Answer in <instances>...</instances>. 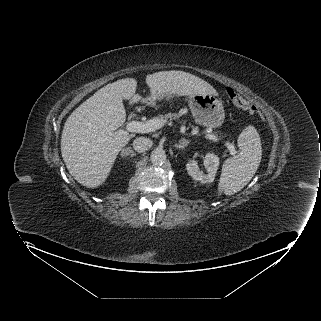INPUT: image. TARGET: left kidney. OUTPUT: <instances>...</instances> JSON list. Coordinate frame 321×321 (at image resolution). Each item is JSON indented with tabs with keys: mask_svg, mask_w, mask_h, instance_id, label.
Here are the masks:
<instances>
[{
	"mask_svg": "<svg viewBox=\"0 0 321 321\" xmlns=\"http://www.w3.org/2000/svg\"><path fill=\"white\" fill-rule=\"evenodd\" d=\"M204 166L207 170V174H204L198 167V163L195 160L189 161L186 164L188 174L201 183H211L215 179L216 172L219 167V157L213 153H208L204 157Z\"/></svg>",
	"mask_w": 321,
	"mask_h": 321,
	"instance_id": "obj_1",
	"label": "left kidney"
}]
</instances>
